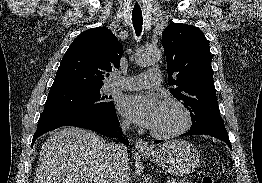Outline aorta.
<instances>
[{
  "label": "aorta",
  "mask_w": 262,
  "mask_h": 183,
  "mask_svg": "<svg viewBox=\"0 0 262 183\" xmlns=\"http://www.w3.org/2000/svg\"><path fill=\"white\" fill-rule=\"evenodd\" d=\"M161 58V51L156 47L145 46L136 53V63L139 66L146 67L157 63Z\"/></svg>",
  "instance_id": "aorta-1"
}]
</instances>
